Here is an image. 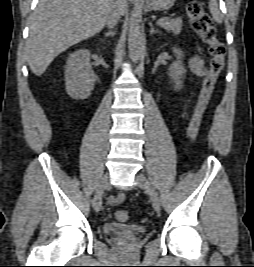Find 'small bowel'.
Instances as JSON below:
<instances>
[{
  "mask_svg": "<svg viewBox=\"0 0 254 267\" xmlns=\"http://www.w3.org/2000/svg\"><path fill=\"white\" fill-rule=\"evenodd\" d=\"M190 70L197 76H203L206 73V67L204 61L197 55L194 54L189 61ZM124 194L109 197V203L111 205H117L123 202Z\"/></svg>",
  "mask_w": 254,
  "mask_h": 267,
  "instance_id": "c3829d8e",
  "label": "small bowel"
}]
</instances>
